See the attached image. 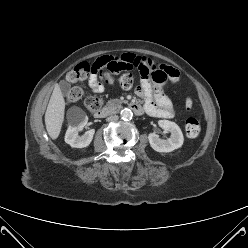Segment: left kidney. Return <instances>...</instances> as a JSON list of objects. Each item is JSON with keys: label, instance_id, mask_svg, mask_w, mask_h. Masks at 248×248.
<instances>
[{"label": "left kidney", "instance_id": "5707ae66", "mask_svg": "<svg viewBox=\"0 0 248 248\" xmlns=\"http://www.w3.org/2000/svg\"><path fill=\"white\" fill-rule=\"evenodd\" d=\"M159 126L171 133L170 138L166 140L160 139L159 135L150 133L148 135L150 146L157 152H171L183 145L184 137L180 127L172 121L160 120Z\"/></svg>", "mask_w": 248, "mask_h": 248}]
</instances>
